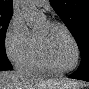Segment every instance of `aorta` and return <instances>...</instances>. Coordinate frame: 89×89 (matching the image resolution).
Segmentation results:
<instances>
[{
	"label": "aorta",
	"instance_id": "aorta-1",
	"mask_svg": "<svg viewBox=\"0 0 89 89\" xmlns=\"http://www.w3.org/2000/svg\"><path fill=\"white\" fill-rule=\"evenodd\" d=\"M21 11L24 15L26 24L30 28L36 27L45 18L44 14L36 8L34 0H22Z\"/></svg>",
	"mask_w": 89,
	"mask_h": 89
}]
</instances>
